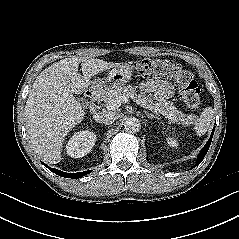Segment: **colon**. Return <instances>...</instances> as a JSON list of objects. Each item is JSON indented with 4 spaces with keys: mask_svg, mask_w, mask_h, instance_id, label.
Returning <instances> with one entry per match:
<instances>
[{
    "mask_svg": "<svg viewBox=\"0 0 239 239\" xmlns=\"http://www.w3.org/2000/svg\"><path fill=\"white\" fill-rule=\"evenodd\" d=\"M136 70L144 78L172 80L187 108L196 113L201 111L200 88L192 73L181 64L167 59H144L137 62Z\"/></svg>",
    "mask_w": 239,
    "mask_h": 239,
    "instance_id": "1",
    "label": "colon"
}]
</instances>
